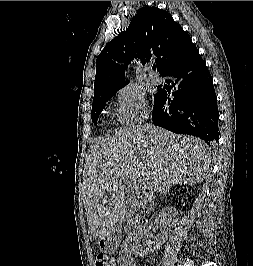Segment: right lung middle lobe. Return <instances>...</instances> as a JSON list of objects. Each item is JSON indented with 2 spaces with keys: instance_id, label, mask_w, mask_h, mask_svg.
<instances>
[{
  "instance_id": "1",
  "label": "right lung middle lobe",
  "mask_w": 253,
  "mask_h": 266,
  "mask_svg": "<svg viewBox=\"0 0 253 266\" xmlns=\"http://www.w3.org/2000/svg\"><path fill=\"white\" fill-rule=\"evenodd\" d=\"M114 93L115 92L105 94V95L101 96L100 98L93 101L91 118H92V121L95 125H97V119H98L100 113L102 112L106 102L113 96ZM156 98H157V94L154 96V101L156 100Z\"/></svg>"
}]
</instances>
